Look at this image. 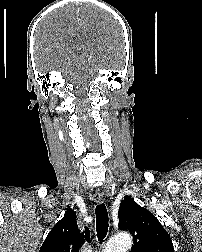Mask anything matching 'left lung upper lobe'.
<instances>
[{
    "label": "left lung upper lobe",
    "mask_w": 202,
    "mask_h": 252,
    "mask_svg": "<svg viewBox=\"0 0 202 252\" xmlns=\"http://www.w3.org/2000/svg\"><path fill=\"white\" fill-rule=\"evenodd\" d=\"M118 217L120 229L129 230L135 241L130 252H174L172 240L158 219L131 197H124Z\"/></svg>",
    "instance_id": "left-lung-upper-lobe-1"
}]
</instances>
